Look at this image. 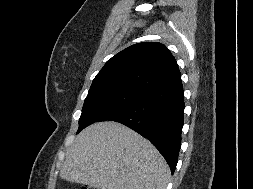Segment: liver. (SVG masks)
<instances>
[{
	"mask_svg": "<svg viewBox=\"0 0 253 189\" xmlns=\"http://www.w3.org/2000/svg\"><path fill=\"white\" fill-rule=\"evenodd\" d=\"M60 176L97 189H166L170 169L147 139L106 121L88 126L76 137Z\"/></svg>",
	"mask_w": 253,
	"mask_h": 189,
	"instance_id": "obj_1",
	"label": "liver"
}]
</instances>
